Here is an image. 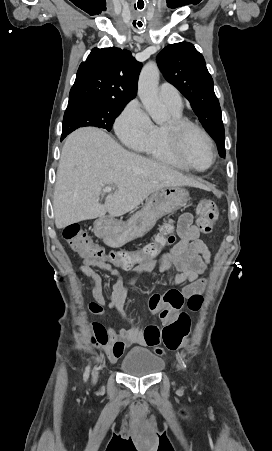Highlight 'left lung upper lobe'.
Listing matches in <instances>:
<instances>
[{
  "label": "left lung upper lobe",
  "instance_id": "obj_1",
  "mask_svg": "<svg viewBox=\"0 0 272 451\" xmlns=\"http://www.w3.org/2000/svg\"><path fill=\"white\" fill-rule=\"evenodd\" d=\"M157 63L168 82L190 101L209 135L215 140L220 157L225 158V133L213 79L205 60L193 44L180 42L165 47Z\"/></svg>",
  "mask_w": 272,
  "mask_h": 451
}]
</instances>
